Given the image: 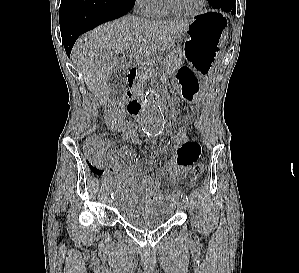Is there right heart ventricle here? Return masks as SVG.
Listing matches in <instances>:
<instances>
[{
	"label": "right heart ventricle",
	"instance_id": "1",
	"mask_svg": "<svg viewBox=\"0 0 299 273\" xmlns=\"http://www.w3.org/2000/svg\"><path fill=\"white\" fill-rule=\"evenodd\" d=\"M170 14L171 12L167 9L162 0L148 13L151 17H166Z\"/></svg>",
	"mask_w": 299,
	"mask_h": 273
}]
</instances>
